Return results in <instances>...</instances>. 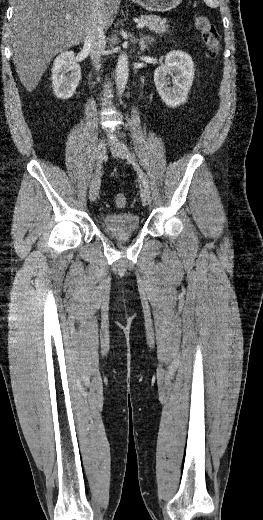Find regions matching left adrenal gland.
Listing matches in <instances>:
<instances>
[{
    "label": "left adrenal gland",
    "mask_w": 263,
    "mask_h": 520,
    "mask_svg": "<svg viewBox=\"0 0 263 520\" xmlns=\"http://www.w3.org/2000/svg\"><path fill=\"white\" fill-rule=\"evenodd\" d=\"M137 40L139 41V46L141 50H145L147 48V44H151V42L153 41V37L150 35L140 34V37Z\"/></svg>",
    "instance_id": "1"
}]
</instances>
